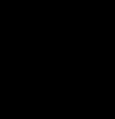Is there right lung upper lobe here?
Wrapping results in <instances>:
<instances>
[{"mask_svg": "<svg viewBox=\"0 0 115 119\" xmlns=\"http://www.w3.org/2000/svg\"><path fill=\"white\" fill-rule=\"evenodd\" d=\"M58 15L59 9L56 7H33L0 44V68L41 58L46 47V35Z\"/></svg>", "mask_w": 115, "mask_h": 119, "instance_id": "obj_1", "label": "right lung upper lobe"}]
</instances>
